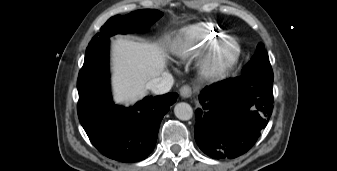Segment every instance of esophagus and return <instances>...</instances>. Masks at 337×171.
Returning a JSON list of instances; mask_svg holds the SVG:
<instances>
[{"label": "esophagus", "mask_w": 337, "mask_h": 171, "mask_svg": "<svg viewBox=\"0 0 337 171\" xmlns=\"http://www.w3.org/2000/svg\"><path fill=\"white\" fill-rule=\"evenodd\" d=\"M180 95L183 98H189L192 95V89L189 85H184L180 88Z\"/></svg>", "instance_id": "34e87169"}]
</instances>
